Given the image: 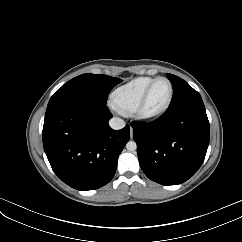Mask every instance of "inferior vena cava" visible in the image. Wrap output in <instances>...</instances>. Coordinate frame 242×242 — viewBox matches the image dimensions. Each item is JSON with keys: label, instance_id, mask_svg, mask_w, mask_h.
<instances>
[{"label": "inferior vena cava", "instance_id": "inferior-vena-cava-1", "mask_svg": "<svg viewBox=\"0 0 242 242\" xmlns=\"http://www.w3.org/2000/svg\"><path fill=\"white\" fill-rule=\"evenodd\" d=\"M109 125L112 129L119 130L125 127V122L121 118L113 117L110 119Z\"/></svg>", "mask_w": 242, "mask_h": 242}]
</instances>
